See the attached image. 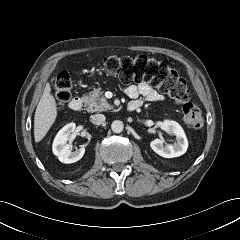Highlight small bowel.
Returning a JSON list of instances; mask_svg holds the SVG:
<instances>
[{
	"instance_id": "obj_1",
	"label": "small bowel",
	"mask_w": 240,
	"mask_h": 240,
	"mask_svg": "<svg viewBox=\"0 0 240 240\" xmlns=\"http://www.w3.org/2000/svg\"><path fill=\"white\" fill-rule=\"evenodd\" d=\"M124 92L132 99L131 102L138 103L139 107H141L144 102H158L164 98L152 85L145 82L137 85H129L124 88Z\"/></svg>"
}]
</instances>
